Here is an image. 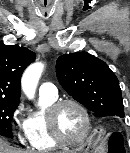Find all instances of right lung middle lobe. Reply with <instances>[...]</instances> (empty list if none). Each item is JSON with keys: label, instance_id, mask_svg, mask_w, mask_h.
<instances>
[{"label": "right lung middle lobe", "instance_id": "right-lung-middle-lobe-1", "mask_svg": "<svg viewBox=\"0 0 130 153\" xmlns=\"http://www.w3.org/2000/svg\"><path fill=\"white\" fill-rule=\"evenodd\" d=\"M19 102L0 99V135L13 138L11 119Z\"/></svg>", "mask_w": 130, "mask_h": 153}]
</instances>
